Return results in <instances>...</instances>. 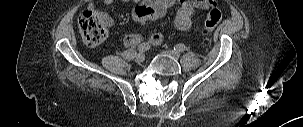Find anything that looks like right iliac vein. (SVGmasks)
I'll list each match as a JSON object with an SVG mask.
<instances>
[{"instance_id":"63e3f726","label":"right iliac vein","mask_w":303,"mask_h":127,"mask_svg":"<svg viewBox=\"0 0 303 127\" xmlns=\"http://www.w3.org/2000/svg\"><path fill=\"white\" fill-rule=\"evenodd\" d=\"M145 60V55L143 53H139L135 56V62L140 64Z\"/></svg>"}]
</instances>
